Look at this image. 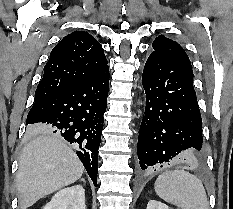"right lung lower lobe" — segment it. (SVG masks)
Returning a JSON list of instances; mask_svg holds the SVG:
<instances>
[{
  "mask_svg": "<svg viewBox=\"0 0 233 209\" xmlns=\"http://www.w3.org/2000/svg\"><path fill=\"white\" fill-rule=\"evenodd\" d=\"M108 90L109 67L80 85L35 101L26 122L31 130L48 127L73 144L94 185Z\"/></svg>",
  "mask_w": 233,
  "mask_h": 209,
  "instance_id": "98d812e1",
  "label": "right lung lower lobe"
}]
</instances>
